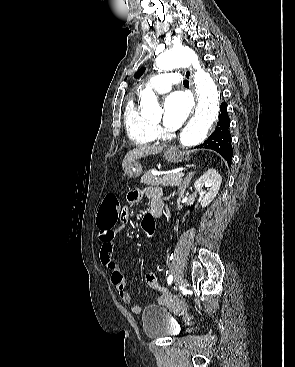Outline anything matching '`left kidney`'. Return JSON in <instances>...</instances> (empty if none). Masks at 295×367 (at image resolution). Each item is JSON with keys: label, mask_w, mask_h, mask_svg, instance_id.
I'll list each match as a JSON object with an SVG mask.
<instances>
[{"label": "left kidney", "mask_w": 295, "mask_h": 367, "mask_svg": "<svg viewBox=\"0 0 295 367\" xmlns=\"http://www.w3.org/2000/svg\"><path fill=\"white\" fill-rule=\"evenodd\" d=\"M222 178L217 170L208 169L202 176H200L194 183L196 193L199 194V201L204 208L208 206L216 197ZM206 188V190L203 189Z\"/></svg>", "instance_id": "obj_1"}]
</instances>
